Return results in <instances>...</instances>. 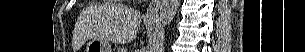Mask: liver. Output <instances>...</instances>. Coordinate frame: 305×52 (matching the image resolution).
<instances>
[{
	"label": "liver",
	"mask_w": 305,
	"mask_h": 52,
	"mask_svg": "<svg viewBox=\"0 0 305 52\" xmlns=\"http://www.w3.org/2000/svg\"><path fill=\"white\" fill-rule=\"evenodd\" d=\"M141 22L142 16L137 10L121 5H111L107 9L104 23L94 30L90 26L85 28L89 34L85 39L125 44L136 38Z\"/></svg>",
	"instance_id": "6515ba94"
}]
</instances>
